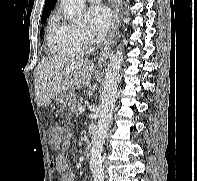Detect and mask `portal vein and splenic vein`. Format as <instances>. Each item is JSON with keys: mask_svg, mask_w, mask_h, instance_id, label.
I'll list each match as a JSON object with an SVG mask.
<instances>
[{"mask_svg": "<svg viewBox=\"0 0 197 181\" xmlns=\"http://www.w3.org/2000/svg\"><path fill=\"white\" fill-rule=\"evenodd\" d=\"M78 111H79V113L81 114V113H83V112L85 111V109H84L83 106H81V107H79Z\"/></svg>", "mask_w": 197, "mask_h": 181, "instance_id": "obj_1", "label": "portal vein and splenic vein"}]
</instances>
